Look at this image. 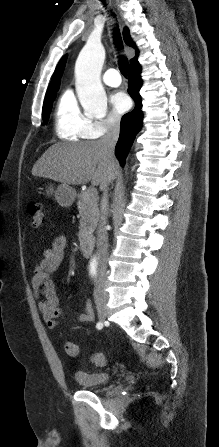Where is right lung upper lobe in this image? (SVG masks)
Instances as JSON below:
<instances>
[{
    "mask_svg": "<svg viewBox=\"0 0 219 447\" xmlns=\"http://www.w3.org/2000/svg\"><path fill=\"white\" fill-rule=\"evenodd\" d=\"M123 39L124 42L131 46V47H135L134 43L131 42V38H130V34H129V30L127 28L124 29L123 31ZM137 54H138V50H136ZM65 61H66V56H64L58 63L54 75L52 77L50 86L47 89V93H46V98L52 96V95H56V92L59 89V84H60V78L62 76L63 70H64V66H65ZM137 63L136 61V57H134L131 61H130V65H133Z\"/></svg>",
    "mask_w": 219,
    "mask_h": 447,
    "instance_id": "cb5924a9",
    "label": "right lung upper lobe"
}]
</instances>
